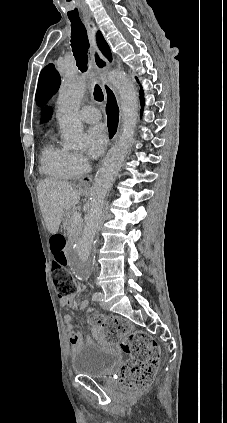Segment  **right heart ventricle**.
I'll use <instances>...</instances> for the list:
<instances>
[{"label": "right heart ventricle", "mask_w": 227, "mask_h": 423, "mask_svg": "<svg viewBox=\"0 0 227 423\" xmlns=\"http://www.w3.org/2000/svg\"><path fill=\"white\" fill-rule=\"evenodd\" d=\"M67 154L66 149L56 147L52 143L46 144L41 152L40 172L51 178H67L65 170Z\"/></svg>", "instance_id": "obj_1"}]
</instances>
